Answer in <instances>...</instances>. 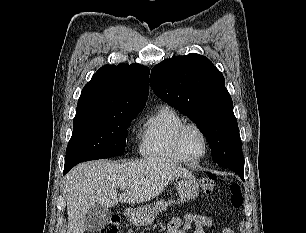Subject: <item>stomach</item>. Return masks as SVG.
Returning a JSON list of instances; mask_svg holds the SVG:
<instances>
[{
  "label": "stomach",
  "instance_id": "1",
  "mask_svg": "<svg viewBox=\"0 0 306 233\" xmlns=\"http://www.w3.org/2000/svg\"><path fill=\"white\" fill-rule=\"evenodd\" d=\"M176 187L182 200H193L199 194L198 183L192 174L180 177ZM157 214L158 211L155 207L147 205L133 210L129 215V219L134 225L146 226L155 220Z\"/></svg>",
  "mask_w": 306,
  "mask_h": 233
}]
</instances>
